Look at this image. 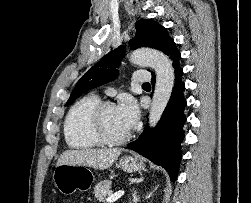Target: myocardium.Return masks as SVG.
Instances as JSON below:
<instances>
[{"label":"myocardium","mask_w":251,"mask_h":203,"mask_svg":"<svg viewBox=\"0 0 251 203\" xmlns=\"http://www.w3.org/2000/svg\"><path fill=\"white\" fill-rule=\"evenodd\" d=\"M114 103L110 101L100 102L92 111L89 121V128L92 135L102 144L120 145L131 138V133L118 138L111 137L104 128V114L106 110L114 107Z\"/></svg>","instance_id":"f54148a6"}]
</instances>
